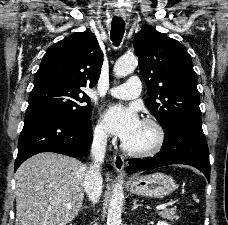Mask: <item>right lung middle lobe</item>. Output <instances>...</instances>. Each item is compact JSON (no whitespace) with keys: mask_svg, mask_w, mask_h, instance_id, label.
<instances>
[{"mask_svg":"<svg viewBox=\"0 0 228 225\" xmlns=\"http://www.w3.org/2000/svg\"><path fill=\"white\" fill-rule=\"evenodd\" d=\"M89 104L90 98L81 88L59 82H46L34 85L25 116L55 112L87 121L91 116Z\"/></svg>","mask_w":228,"mask_h":225,"instance_id":"obj_1","label":"right lung middle lobe"}]
</instances>
